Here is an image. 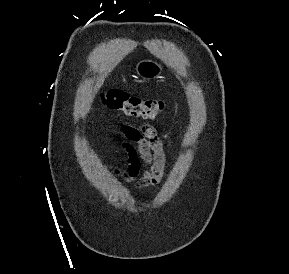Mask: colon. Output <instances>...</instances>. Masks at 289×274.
<instances>
[{"instance_id":"1","label":"colon","mask_w":289,"mask_h":274,"mask_svg":"<svg viewBox=\"0 0 289 274\" xmlns=\"http://www.w3.org/2000/svg\"><path fill=\"white\" fill-rule=\"evenodd\" d=\"M100 97L102 103L109 109L144 119L155 118L166 107L164 100L145 99L117 89L102 92Z\"/></svg>"}]
</instances>
